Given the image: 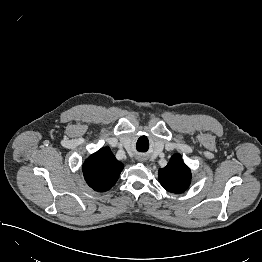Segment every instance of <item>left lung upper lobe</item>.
I'll list each match as a JSON object with an SVG mask.
<instances>
[{
	"label": "left lung upper lobe",
	"instance_id": "1",
	"mask_svg": "<svg viewBox=\"0 0 262 262\" xmlns=\"http://www.w3.org/2000/svg\"><path fill=\"white\" fill-rule=\"evenodd\" d=\"M158 177L163 188L171 193H182L190 185L191 172L180 154L171 157L166 167L159 169Z\"/></svg>",
	"mask_w": 262,
	"mask_h": 262
}]
</instances>
